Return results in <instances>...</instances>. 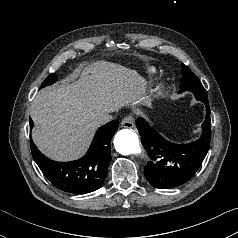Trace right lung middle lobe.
<instances>
[{"label": "right lung middle lobe", "mask_w": 238, "mask_h": 238, "mask_svg": "<svg viewBox=\"0 0 238 238\" xmlns=\"http://www.w3.org/2000/svg\"><path fill=\"white\" fill-rule=\"evenodd\" d=\"M56 80H57V77L55 74L49 75L42 83L41 88L53 84L54 82H56Z\"/></svg>", "instance_id": "obj_1"}]
</instances>
